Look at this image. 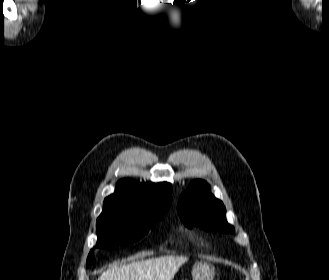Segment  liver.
Here are the masks:
<instances>
[{"instance_id":"liver-1","label":"liver","mask_w":329,"mask_h":280,"mask_svg":"<svg viewBox=\"0 0 329 280\" xmlns=\"http://www.w3.org/2000/svg\"><path fill=\"white\" fill-rule=\"evenodd\" d=\"M126 264H115L98 280H172L179 268L188 261L183 256H162Z\"/></svg>"}]
</instances>
